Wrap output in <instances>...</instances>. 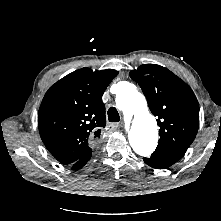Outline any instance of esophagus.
<instances>
[{
  "label": "esophagus",
  "mask_w": 221,
  "mask_h": 221,
  "mask_svg": "<svg viewBox=\"0 0 221 221\" xmlns=\"http://www.w3.org/2000/svg\"><path fill=\"white\" fill-rule=\"evenodd\" d=\"M110 126L113 128H119V127L123 126V123L122 122L121 123H112Z\"/></svg>",
  "instance_id": "34e87169"
}]
</instances>
